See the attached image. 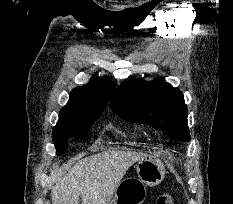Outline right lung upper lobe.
Instances as JSON below:
<instances>
[{"instance_id":"cb5924a9","label":"right lung upper lobe","mask_w":233,"mask_h":204,"mask_svg":"<svg viewBox=\"0 0 233 204\" xmlns=\"http://www.w3.org/2000/svg\"><path fill=\"white\" fill-rule=\"evenodd\" d=\"M114 88L112 81L92 77L88 84L73 89L70 100L59 113V120L54 129L78 119L101 114Z\"/></svg>"}]
</instances>
